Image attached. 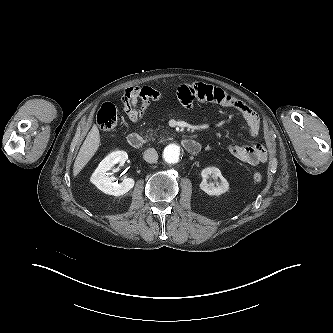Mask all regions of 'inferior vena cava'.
Instances as JSON below:
<instances>
[{"label":"inferior vena cava","mask_w":333,"mask_h":333,"mask_svg":"<svg viewBox=\"0 0 333 333\" xmlns=\"http://www.w3.org/2000/svg\"><path fill=\"white\" fill-rule=\"evenodd\" d=\"M143 158L148 163H156L158 160V153L154 148H149L144 152Z\"/></svg>","instance_id":"obj_1"}]
</instances>
